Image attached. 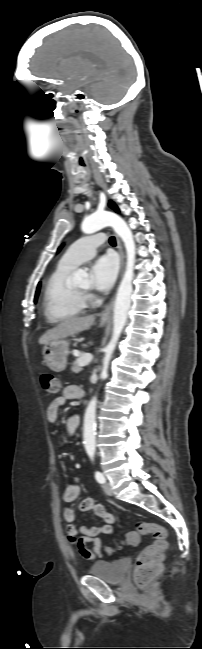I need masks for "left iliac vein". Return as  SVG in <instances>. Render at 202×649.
I'll return each instance as SVG.
<instances>
[{
    "instance_id": "obj_1",
    "label": "left iliac vein",
    "mask_w": 202,
    "mask_h": 649,
    "mask_svg": "<svg viewBox=\"0 0 202 649\" xmlns=\"http://www.w3.org/2000/svg\"><path fill=\"white\" fill-rule=\"evenodd\" d=\"M102 487L106 495L112 496L113 492L111 486L108 483H104Z\"/></svg>"
}]
</instances>
